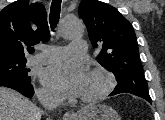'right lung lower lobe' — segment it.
<instances>
[{"label":"right lung lower lobe","instance_id":"obj_1","mask_svg":"<svg viewBox=\"0 0 165 120\" xmlns=\"http://www.w3.org/2000/svg\"><path fill=\"white\" fill-rule=\"evenodd\" d=\"M0 86L12 88L26 97H32L34 94L32 85L25 81L14 79H0Z\"/></svg>","mask_w":165,"mask_h":120}]
</instances>
